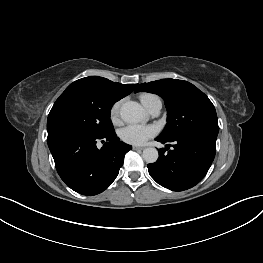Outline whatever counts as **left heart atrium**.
I'll return each instance as SVG.
<instances>
[{"mask_svg": "<svg viewBox=\"0 0 263 263\" xmlns=\"http://www.w3.org/2000/svg\"><path fill=\"white\" fill-rule=\"evenodd\" d=\"M156 132L152 125L130 124L121 130L120 137L125 143L142 145L155 136Z\"/></svg>", "mask_w": 263, "mask_h": 263, "instance_id": "left-heart-atrium-1", "label": "left heart atrium"}]
</instances>
